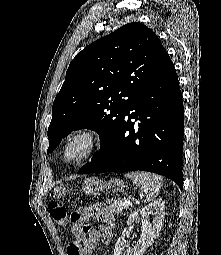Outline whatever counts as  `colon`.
I'll return each instance as SVG.
<instances>
[{
	"mask_svg": "<svg viewBox=\"0 0 221 255\" xmlns=\"http://www.w3.org/2000/svg\"><path fill=\"white\" fill-rule=\"evenodd\" d=\"M91 207H82L79 210L73 212L68 218L67 211L61 204L52 201L48 204V212L53 221L59 227H66L68 224L76 231H84L87 224V218L92 215Z\"/></svg>",
	"mask_w": 221,
	"mask_h": 255,
	"instance_id": "colon-1",
	"label": "colon"
}]
</instances>
